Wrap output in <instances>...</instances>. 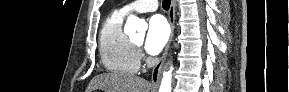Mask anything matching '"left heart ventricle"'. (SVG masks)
<instances>
[{
	"label": "left heart ventricle",
	"instance_id": "obj_1",
	"mask_svg": "<svg viewBox=\"0 0 289 92\" xmlns=\"http://www.w3.org/2000/svg\"><path fill=\"white\" fill-rule=\"evenodd\" d=\"M141 41H142V39H141V38H139V39H136V40H135V43H137V44H140V43H141Z\"/></svg>",
	"mask_w": 289,
	"mask_h": 92
}]
</instances>
